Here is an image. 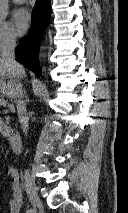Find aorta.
<instances>
[{
  "label": "aorta",
  "instance_id": "762f6f07",
  "mask_svg": "<svg viewBox=\"0 0 128 213\" xmlns=\"http://www.w3.org/2000/svg\"><path fill=\"white\" fill-rule=\"evenodd\" d=\"M8 14V0H0V21L6 18ZM40 56H44L41 54Z\"/></svg>",
  "mask_w": 128,
  "mask_h": 213
}]
</instances>
